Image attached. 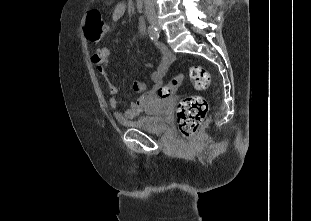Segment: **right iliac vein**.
Returning <instances> with one entry per match:
<instances>
[{"instance_id":"63e3f726","label":"right iliac vein","mask_w":311,"mask_h":221,"mask_svg":"<svg viewBox=\"0 0 311 221\" xmlns=\"http://www.w3.org/2000/svg\"><path fill=\"white\" fill-rule=\"evenodd\" d=\"M152 24H153V26H155V27H158V26H159V24H158L157 21H153Z\"/></svg>"}]
</instances>
